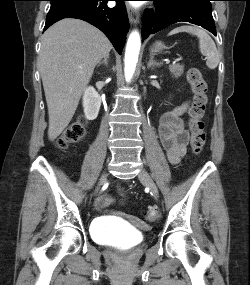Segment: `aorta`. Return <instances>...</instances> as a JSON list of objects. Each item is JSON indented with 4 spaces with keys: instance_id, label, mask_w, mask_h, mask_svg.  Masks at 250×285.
<instances>
[{
    "instance_id": "1",
    "label": "aorta",
    "mask_w": 250,
    "mask_h": 285,
    "mask_svg": "<svg viewBox=\"0 0 250 285\" xmlns=\"http://www.w3.org/2000/svg\"><path fill=\"white\" fill-rule=\"evenodd\" d=\"M141 47V38L137 30L132 31L129 35L124 58V73L127 82H130L135 72L138 62L139 51Z\"/></svg>"
}]
</instances>
